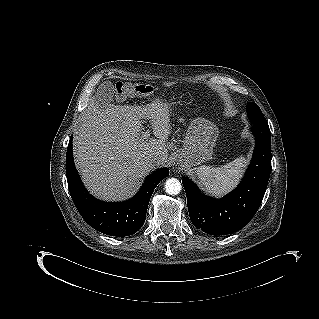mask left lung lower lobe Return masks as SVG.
<instances>
[{
    "mask_svg": "<svg viewBox=\"0 0 319 319\" xmlns=\"http://www.w3.org/2000/svg\"><path fill=\"white\" fill-rule=\"evenodd\" d=\"M256 145L251 164L239 186L222 199L205 196L187 177L182 180L193 225L210 235H227L253 218L264 197L271 172L269 126L253 125Z\"/></svg>",
    "mask_w": 319,
    "mask_h": 319,
    "instance_id": "left-lung-lower-lobe-1",
    "label": "left lung lower lobe"
}]
</instances>
